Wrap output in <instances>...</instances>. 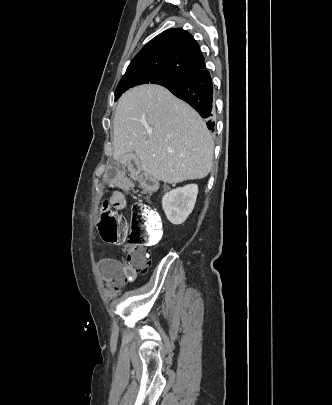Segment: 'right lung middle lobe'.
<instances>
[{
	"instance_id": "1",
	"label": "right lung middle lobe",
	"mask_w": 332,
	"mask_h": 405,
	"mask_svg": "<svg viewBox=\"0 0 332 405\" xmlns=\"http://www.w3.org/2000/svg\"><path fill=\"white\" fill-rule=\"evenodd\" d=\"M183 77L177 74L165 73L157 70H140L125 73L115 91V101L128 89L141 84H159L164 87L177 83Z\"/></svg>"
}]
</instances>
